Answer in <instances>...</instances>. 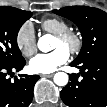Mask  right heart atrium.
<instances>
[{
  "label": "right heart atrium",
  "instance_id": "obj_1",
  "mask_svg": "<svg viewBox=\"0 0 107 107\" xmlns=\"http://www.w3.org/2000/svg\"><path fill=\"white\" fill-rule=\"evenodd\" d=\"M16 43L21 53L26 56H32L37 50V41L35 30L30 22L24 23L16 35Z\"/></svg>",
  "mask_w": 107,
  "mask_h": 107
}]
</instances>
